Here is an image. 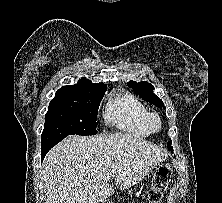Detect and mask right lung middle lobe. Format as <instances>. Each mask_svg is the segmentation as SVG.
<instances>
[{"label":"right lung middle lobe","mask_w":222,"mask_h":203,"mask_svg":"<svg viewBox=\"0 0 222 203\" xmlns=\"http://www.w3.org/2000/svg\"><path fill=\"white\" fill-rule=\"evenodd\" d=\"M105 91H57L45 115L41 141L68 135H95L98 107Z\"/></svg>","instance_id":"dd1d6c3e"}]
</instances>
